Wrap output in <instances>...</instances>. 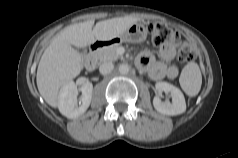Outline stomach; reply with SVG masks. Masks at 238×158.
Instances as JSON below:
<instances>
[{
	"label": "stomach",
	"mask_w": 238,
	"mask_h": 158,
	"mask_svg": "<svg viewBox=\"0 0 238 158\" xmlns=\"http://www.w3.org/2000/svg\"><path fill=\"white\" fill-rule=\"evenodd\" d=\"M147 37V29L142 23H134L117 37L109 40L112 43L131 42L140 43Z\"/></svg>",
	"instance_id": "0dacf381"
}]
</instances>
